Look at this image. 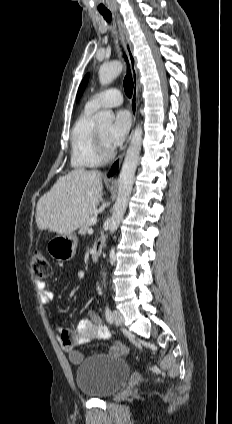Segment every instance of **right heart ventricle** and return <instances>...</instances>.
Listing matches in <instances>:
<instances>
[{
  "mask_svg": "<svg viewBox=\"0 0 232 424\" xmlns=\"http://www.w3.org/2000/svg\"><path fill=\"white\" fill-rule=\"evenodd\" d=\"M94 112L85 107L72 129L71 165L78 170L98 167L103 163L95 149Z\"/></svg>",
  "mask_w": 232,
  "mask_h": 424,
  "instance_id": "1",
  "label": "right heart ventricle"
}]
</instances>
